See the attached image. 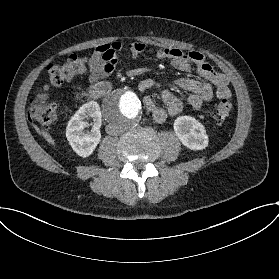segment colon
Returning <instances> with one entry per match:
<instances>
[{"mask_svg": "<svg viewBox=\"0 0 279 279\" xmlns=\"http://www.w3.org/2000/svg\"><path fill=\"white\" fill-rule=\"evenodd\" d=\"M89 63L88 58L78 55H70L63 62L52 63L48 66V77L52 85L58 86L66 80L82 74ZM233 109L231 101L227 98L221 99L216 104L215 121L226 120ZM58 106L53 102L47 92L39 91L30 100L29 115L44 127L51 126L56 119Z\"/></svg>", "mask_w": 279, "mask_h": 279, "instance_id": "obj_1", "label": "colon"}]
</instances>
